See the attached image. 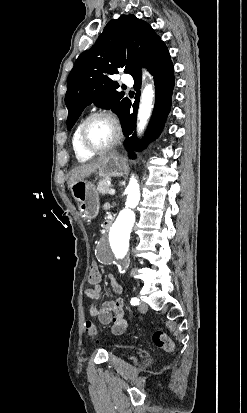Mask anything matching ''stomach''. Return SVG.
Segmentation results:
<instances>
[{
	"instance_id": "0dacf381",
	"label": "stomach",
	"mask_w": 247,
	"mask_h": 413,
	"mask_svg": "<svg viewBox=\"0 0 247 413\" xmlns=\"http://www.w3.org/2000/svg\"><path fill=\"white\" fill-rule=\"evenodd\" d=\"M122 158L118 154L106 156L101 166L97 168L96 174L100 178H110V176H121ZM70 190L78 204L81 217L83 219H95L99 213V192L90 180H78L70 184Z\"/></svg>"
}]
</instances>
